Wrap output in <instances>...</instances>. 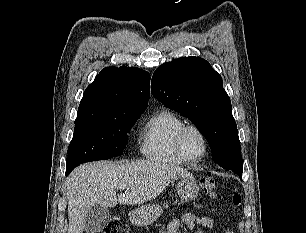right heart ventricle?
<instances>
[{
	"label": "right heart ventricle",
	"mask_w": 306,
	"mask_h": 233,
	"mask_svg": "<svg viewBox=\"0 0 306 233\" xmlns=\"http://www.w3.org/2000/svg\"><path fill=\"white\" fill-rule=\"evenodd\" d=\"M184 121L173 111L161 109L146 121L141 133V152L148 158L182 163L176 150V135Z\"/></svg>",
	"instance_id": "e07e8e85"
}]
</instances>
